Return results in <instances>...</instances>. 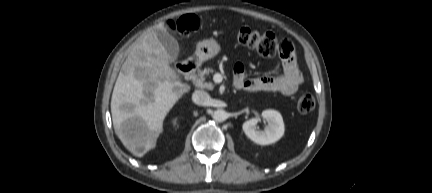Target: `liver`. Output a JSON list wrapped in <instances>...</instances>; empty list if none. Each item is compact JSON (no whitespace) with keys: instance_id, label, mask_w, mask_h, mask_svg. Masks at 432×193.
Returning <instances> with one entry per match:
<instances>
[{"instance_id":"6515ba94","label":"liver","mask_w":432,"mask_h":193,"mask_svg":"<svg viewBox=\"0 0 432 193\" xmlns=\"http://www.w3.org/2000/svg\"><path fill=\"white\" fill-rule=\"evenodd\" d=\"M163 27V23L157 25L133 48L122 65L112 93L115 133L137 157L155 148L166 115L189 91V86L181 83L169 66V55L156 36V30ZM128 120L137 121L131 135L122 130Z\"/></svg>"}]
</instances>
